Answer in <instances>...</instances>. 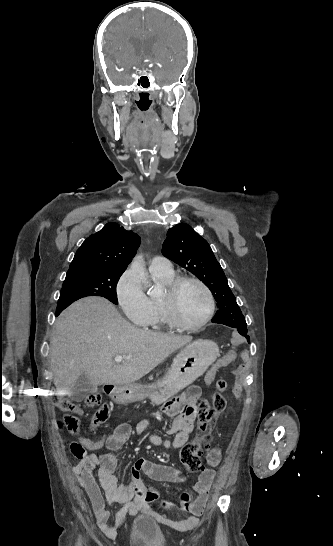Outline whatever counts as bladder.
Wrapping results in <instances>:
<instances>
[{"label": "bladder", "instance_id": "obj_1", "mask_svg": "<svg viewBox=\"0 0 333 546\" xmlns=\"http://www.w3.org/2000/svg\"><path fill=\"white\" fill-rule=\"evenodd\" d=\"M130 540L135 546H165L166 542L159 523L151 516H141L134 520Z\"/></svg>", "mask_w": 333, "mask_h": 546}]
</instances>
